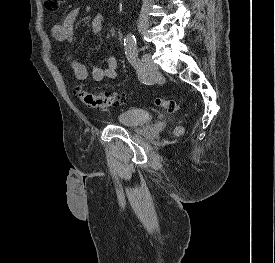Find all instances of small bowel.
<instances>
[{"label":"small bowel","mask_w":275,"mask_h":263,"mask_svg":"<svg viewBox=\"0 0 275 263\" xmlns=\"http://www.w3.org/2000/svg\"><path fill=\"white\" fill-rule=\"evenodd\" d=\"M80 10L79 7L71 10L59 23L53 26L52 34L56 40L66 43L74 41V25ZM104 21L105 17L102 14H96L92 17L90 29L93 34H99L102 31ZM66 61L77 80H86L89 75L94 81L115 79L117 77L118 63L113 56L106 57L103 66H94L90 71L83 63L74 59L71 54L66 55Z\"/></svg>","instance_id":"1"}]
</instances>
